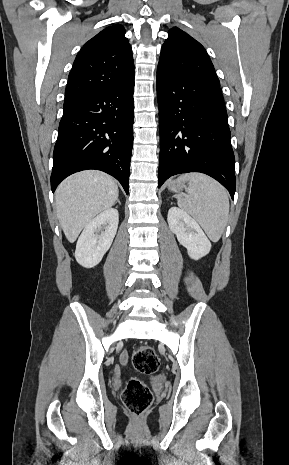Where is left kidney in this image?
Returning <instances> with one entry per match:
<instances>
[{
    "label": "left kidney",
    "instance_id": "5707ae66",
    "mask_svg": "<svg viewBox=\"0 0 289 465\" xmlns=\"http://www.w3.org/2000/svg\"><path fill=\"white\" fill-rule=\"evenodd\" d=\"M170 230L177 236L188 255L198 260L211 250V243L199 224L186 212L177 207H171L167 217Z\"/></svg>",
    "mask_w": 289,
    "mask_h": 465
}]
</instances>
